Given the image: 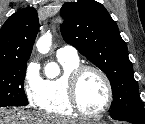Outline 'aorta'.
<instances>
[{
    "label": "aorta",
    "mask_w": 145,
    "mask_h": 124,
    "mask_svg": "<svg viewBox=\"0 0 145 124\" xmlns=\"http://www.w3.org/2000/svg\"><path fill=\"white\" fill-rule=\"evenodd\" d=\"M52 44V35L50 32L43 34L37 41L36 46L41 54H47ZM45 74L48 78L53 79L59 76L60 69L57 64L51 63L46 66Z\"/></svg>",
    "instance_id": "obj_1"
}]
</instances>
